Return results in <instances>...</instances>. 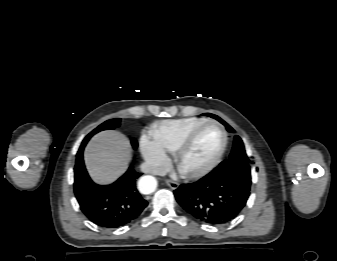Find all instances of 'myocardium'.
<instances>
[{
	"label": "myocardium",
	"mask_w": 337,
	"mask_h": 261,
	"mask_svg": "<svg viewBox=\"0 0 337 261\" xmlns=\"http://www.w3.org/2000/svg\"><path fill=\"white\" fill-rule=\"evenodd\" d=\"M211 125L218 127L219 130L222 133L223 139H222V144H221V147H220L219 151L212 158V160L210 162H208L205 166H203V167H201L197 170H193V171L184 170L182 168V160H183L184 156L189 151L190 147L192 146L195 138L200 133V131L203 130L205 127L211 126ZM227 145H228V133H227L226 129L224 128V126L216 120H206L205 122H203V123L197 125L196 127H194L186 135V137L183 139V141L181 142V144L179 145L177 150L174 152L175 167L180 172V174H182L186 178L203 177V176L207 175L208 173H210L219 164V162L221 161V159L223 158V156L225 154V151L227 149Z\"/></svg>",
	"instance_id": "obj_1"
}]
</instances>
